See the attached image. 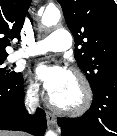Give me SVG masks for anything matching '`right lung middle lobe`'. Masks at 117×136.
<instances>
[{"mask_svg": "<svg viewBox=\"0 0 117 136\" xmlns=\"http://www.w3.org/2000/svg\"><path fill=\"white\" fill-rule=\"evenodd\" d=\"M5 59L6 57L0 58V82H9L20 78L22 76L21 73L6 70V67L2 66Z\"/></svg>", "mask_w": 117, "mask_h": 136, "instance_id": "1", "label": "right lung middle lobe"}]
</instances>
